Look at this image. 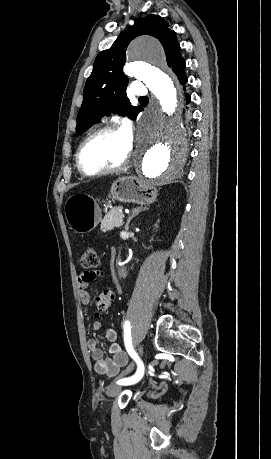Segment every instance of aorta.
I'll return each instance as SVG.
<instances>
[{
    "label": "aorta",
    "mask_w": 271,
    "mask_h": 459,
    "mask_svg": "<svg viewBox=\"0 0 271 459\" xmlns=\"http://www.w3.org/2000/svg\"><path fill=\"white\" fill-rule=\"evenodd\" d=\"M129 76L141 79L152 92V99L141 119L134 166L146 181L166 182L177 176L187 157V135L180 117L178 82L167 67L161 44L142 36L127 49ZM119 269L112 275L119 276Z\"/></svg>",
    "instance_id": "aorta-1"
}]
</instances>
